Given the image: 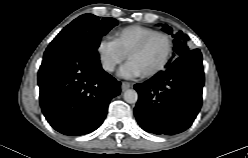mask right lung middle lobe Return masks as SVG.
<instances>
[{
    "mask_svg": "<svg viewBox=\"0 0 248 158\" xmlns=\"http://www.w3.org/2000/svg\"><path fill=\"white\" fill-rule=\"evenodd\" d=\"M118 24L114 18L84 14L68 24L50 43L97 50L100 39Z\"/></svg>",
    "mask_w": 248,
    "mask_h": 158,
    "instance_id": "obj_1",
    "label": "right lung middle lobe"
}]
</instances>
